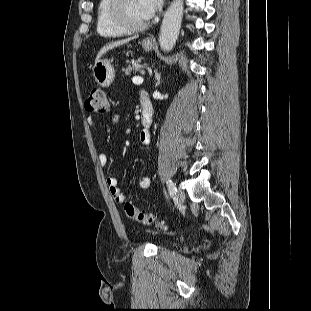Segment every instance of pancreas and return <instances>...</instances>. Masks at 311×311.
Here are the masks:
<instances>
[{"mask_svg":"<svg viewBox=\"0 0 311 311\" xmlns=\"http://www.w3.org/2000/svg\"><path fill=\"white\" fill-rule=\"evenodd\" d=\"M141 65L138 62L129 65L127 68L123 69L125 75H131V73H137L140 71Z\"/></svg>","mask_w":311,"mask_h":311,"instance_id":"pancreas-1","label":"pancreas"}]
</instances>
